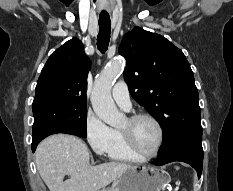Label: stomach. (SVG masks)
<instances>
[{
	"mask_svg": "<svg viewBox=\"0 0 233 191\" xmlns=\"http://www.w3.org/2000/svg\"><path fill=\"white\" fill-rule=\"evenodd\" d=\"M170 182L169 174L155 166H132L100 191H161Z\"/></svg>",
	"mask_w": 233,
	"mask_h": 191,
	"instance_id": "1",
	"label": "stomach"
}]
</instances>
